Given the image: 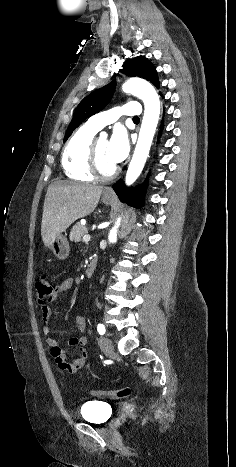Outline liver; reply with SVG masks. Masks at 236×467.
Returning a JSON list of instances; mask_svg holds the SVG:
<instances>
[{"mask_svg":"<svg viewBox=\"0 0 236 467\" xmlns=\"http://www.w3.org/2000/svg\"><path fill=\"white\" fill-rule=\"evenodd\" d=\"M103 187L56 181L47 190L41 223L46 247L73 222L90 215L96 208Z\"/></svg>","mask_w":236,"mask_h":467,"instance_id":"6515ba94","label":"liver"}]
</instances>
